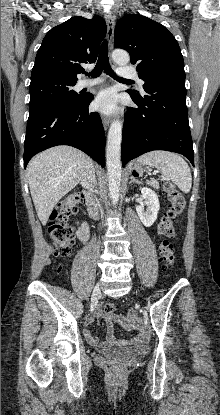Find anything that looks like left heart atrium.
Listing matches in <instances>:
<instances>
[{"label":"left heart atrium","instance_id":"left-heart-atrium-1","mask_svg":"<svg viewBox=\"0 0 220 415\" xmlns=\"http://www.w3.org/2000/svg\"><path fill=\"white\" fill-rule=\"evenodd\" d=\"M117 96L112 89L101 91L94 100L96 110L110 114L116 108Z\"/></svg>","mask_w":220,"mask_h":415}]
</instances>
